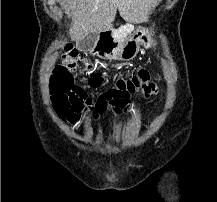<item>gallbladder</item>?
Wrapping results in <instances>:
<instances>
[{"mask_svg": "<svg viewBox=\"0 0 217 202\" xmlns=\"http://www.w3.org/2000/svg\"><path fill=\"white\" fill-rule=\"evenodd\" d=\"M98 34L96 32H92V34H88L86 38L81 39L79 46L80 51H91L93 46H95V42H97Z\"/></svg>", "mask_w": 217, "mask_h": 202, "instance_id": "bac80fb5", "label": "gallbladder"}]
</instances>
